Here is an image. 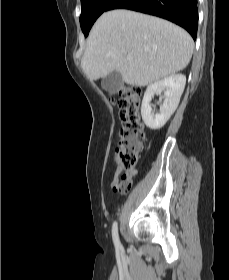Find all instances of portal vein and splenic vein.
Segmentation results:
<instances>
[{"instance_id":"obj_1","label":"portal vein and splenic vein","mask_w":229,"mask_h":280,"mask_svg":"<svg viewBox=\"0 0 229 280\" xmlns=\"http://www.w3.org/2000/svg\"><path fill=\"white\" fill-rule=\"evenodd\" d=\"M127 59H128V60H132L133 58H132V56L128 55V56H127Z\"/></svg>"}]
</instances>
